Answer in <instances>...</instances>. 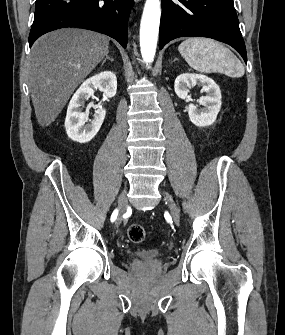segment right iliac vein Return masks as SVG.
Segmentation results:
<instances>
[{
    "label": "right iliac vein",
    "instance_id": "1",
    "mask_svg": "<svg viewBox=\"0 0 285 335\" xmlns=\"http://www.w3.org/2000/svg\"><path fill=\"white\" fill-rule=\"evenodd\" d=\"M126 201H127V191L123 190L118 197V208L120 215L116 219L117 225H119L122 222V215L126 210Z\"/></svg>",
    "mask_w": 285,
    "mask_h": 335
}]
</instances>
